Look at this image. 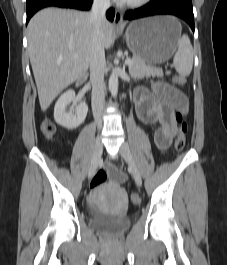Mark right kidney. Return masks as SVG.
<instances>
[{
  "mask_svg": "<svg viewBox=\"0 0 227 265\" xmlns=\"http://www.w3.org/2000/svg\"><path fill=\"white\" fill-rule=\"evenodd\" d=\"M74 99V90H68L59 97L54 108L55 121L67 129H75L80 126L84 122L88 112V106L85 102L79 103L75 110L66 112L67 105L74 101Z\"/></svg>",
  "mask_w": 227,
  "mask_h": 265,
  "instance_id": "ca27d5eb",
  "label": "right kidney"
}]
</instances>
